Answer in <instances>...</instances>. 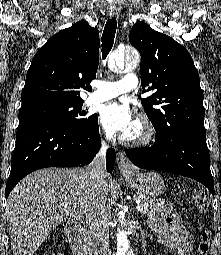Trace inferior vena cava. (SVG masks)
<instances>
[{
  "mask_svg": "<svg viewBox=\"0 0 221 255\" xmlns=\"http://www.w3.org/2000/svg\"><path fill=\"white\" fill-rule=\"evenodd\" d=\"M90 179L96 183H102L106 176L105 150L99 153L88 166ZM105 202L92 200L86 212V224L98 255H111L109 229L107 225Z\"/></svg>",
  "mask_w": 221,
  "mask_h": 255,
  "instance_id": "1",
  "label": "inferior vena cava"
}]
</instances>
